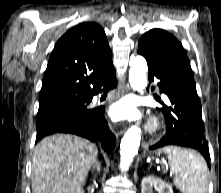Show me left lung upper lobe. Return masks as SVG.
I'll return each mask as SVG.
<instances>
[{
    "mask_svg": "<svg viewBox=\"0 0 221 193\" xmlns=\"http://www.w3.org/2000/svg\"><path fill=\"white\" fill-rule=\"evenodd\" d=\"M138 47L148 56L163 63L190 68V62L181 43L162 29H152L139 40Z\"/></svg>",
    "mask_w": 221,
    "mask_h": 193,
    "instance_id": "obj_1",
    "label": "left lung upper lobe"
}]
</instances>
